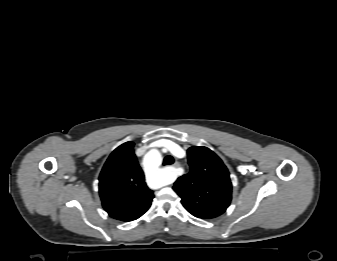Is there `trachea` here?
Wrapping results in <instances>:
<instances>
[{
    "instance_id": "3493384b",
    "label": "trachea",
    "mask_w": 337,
    "mask_h": 261,
    "mask_svg": "<svg viewBox=\"0 0 337 261\" xmlns=\"http://www.w3.org/2000/svg\"><path fill=\"white\" fill-rule=\"evenodd\" d=\"M174 163V158L172 156H166L164 158L163 164L164 165H171Z\"/></svg>"
}]
</instances>
